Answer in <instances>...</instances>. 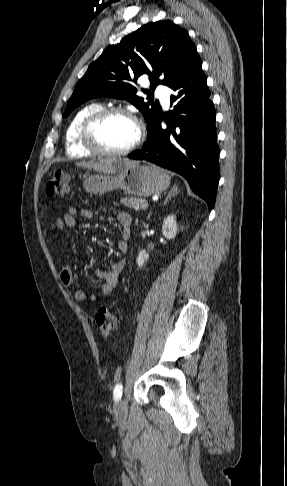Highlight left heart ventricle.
I'll use <instances>...</instances> for the list:
<instances>
[{
  "mask_svg": "<svg viewBox=\"0 0 287 486\" xmlns=\"http://www.w3.org/2000/svg\"><path fill=\"white\" fill-rule=\"evenodd\" d=\"M134 124L126 117L113 115L102 121L94 131L96 143L103 149L115 151L128 146L135 138Z\"/></svg>",
  "mask_w": 287,
  "mask_h": 486,
  "instance_id": "obj_1",
  "label": "left heart ventricle"
}]
</instances>
